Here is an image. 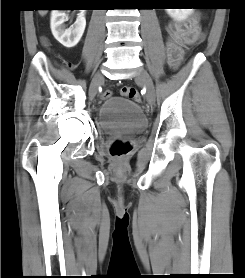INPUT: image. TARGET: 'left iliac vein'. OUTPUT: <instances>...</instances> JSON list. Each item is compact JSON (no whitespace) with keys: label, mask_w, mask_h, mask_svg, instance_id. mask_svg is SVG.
I'll return each instance as SVG.
<instances>
[{"label":"left iliac vein","mask_w":245,"mask_h":278,"mask_svg":"<svg viewBox=\"0 0 245 278\" xmlns=\"http://www.w3.org/2000/svg\"><path fill=\"white\" fill-rule=\"evenodd\" d=\"M135 80L142 83L146 88V99L150 104L155 101V87L148 72L142 68L137 70Z\"/></svg>","instance_id":"left-iliac-vein-1"}]
</instances>
